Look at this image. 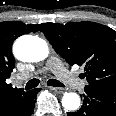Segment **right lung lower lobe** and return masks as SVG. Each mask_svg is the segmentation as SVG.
I'll return each instance as SVG.
<instances>
[{"instance_id":"98d812e1","label":"right lung lower lobe","mask_w":116,"mask_h":116,"mask_svg":"<svg viewBox=\"0 0 116 116\" xmlns=\"http://www.w3.org/2000/svg\"><path fill=\"white\" fill-rule=\"evenodd\" d=\"M40 90L34 89L19 94L0 116H31L35 106L36 95Z\"/></svg>"}]
</instances>
